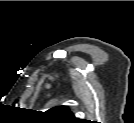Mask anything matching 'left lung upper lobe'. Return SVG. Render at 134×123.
<instances>
[{
  "mask_svg": "<svg viewBox=\"0 0 134 123\" xmlns=\"http://www.w3.org/2000/svg\"><path fill=\"white\" fill-rule=\"evenodd\" d=\"M50 115L59 119L75 121L77 120L72 112L66 106H57L47 111Z\"/></svg>",
  "mask_w": 134,
  "mask_h": 123,
  "instance_id": "1",
  "label": "left lung upper lobe"
}]
</instances>
